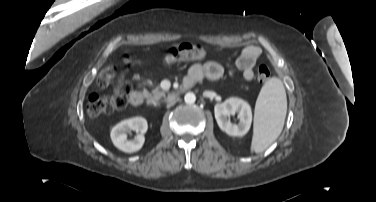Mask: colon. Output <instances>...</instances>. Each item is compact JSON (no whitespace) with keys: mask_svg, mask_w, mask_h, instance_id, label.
Instances as JSON below:
<instances>
[{"mask_svg":"<svg viewBox=\"0 0 376 202\" xmlns=\"http://www.w3.org/2000/svg\"><path fill=\"white\" fill-rule=\"evenodd\" d=\"M206 57L205 48L197 43H182L169 48L163 56V62L174 63L177 61L201 60ZM139 64V61L130 56L124 58L126 68H132ZM270 77L269 68L262 64L257 69V78L260 82H265ZM117 81L113 94L110 97L92 95L89 98L87 113L90 117H97L123 109L128 104V97L132 87L130 83L120 78L116 68L107 67L101 70L97 83L100 87H107Z\"/></svg>","mask_w":376,"mask_h":202,"instance_id":"colon-1","label":"colon"}]
</instances>
